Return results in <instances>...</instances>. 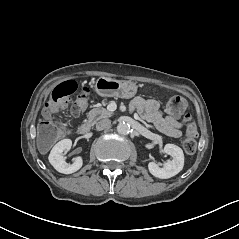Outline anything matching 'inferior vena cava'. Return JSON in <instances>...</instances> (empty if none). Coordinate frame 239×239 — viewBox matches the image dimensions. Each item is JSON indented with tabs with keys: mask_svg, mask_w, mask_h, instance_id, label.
<instances>
[{
	"mask_svg": "<svg viewBox=\"0 0 239 239\" xmlns=\"http://www.w3.org/2000/svg\"><path fill=\"white\" fill-rule=\"evenodd\" d=\"M111 125L110 119H102L96 124L97 130H105Z\"/></svg>",
	"mask_w": 239,
	"mask_h": 239,
	"instance_id": "602c4592",
	"label": "inferior vena cava"
}]
</instances>
